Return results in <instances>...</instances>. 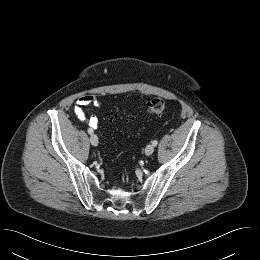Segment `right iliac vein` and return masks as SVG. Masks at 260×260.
I'll list each match as a JSON object with an SVG mask.
<instances>
[{"label": "right iliac vein", "mask_w": 260, "mask_h": 260, "mask_svg": "<svg viewBox=\"0 0 260 260\" xmlns=\"http://www.w3.org/2000/svg\"><path fill=\"white\" fill-rule=\"evenodd\" d=\"M90 142L93 146H97L98 145V137L95 134H92L90 136Z\"/></svg>", "instance_id": "1"}]
</instances>
